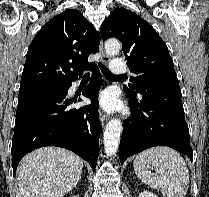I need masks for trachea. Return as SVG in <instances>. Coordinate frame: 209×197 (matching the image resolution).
<instances>
[{
	"mask_svg": "<svg viewBox=\"0 0 209 197\" xmlns=\"http://www.w3.org/2000/svg\"><path fill=\"white\" fill-rule=\"evenodd\" d=\"M100 69H101V72L103 73V75L106 77V78H122V77H125V75H114L112 74L108 68L106 66H104L102 63H98ZM90 76V73H86L84 75V77H89Z\"/></svg>",
	"mask_w": 209,
	"mask_h": 197,
	"instance_id": "3493384b",
	"label": "trachea"
}]
</instances>
